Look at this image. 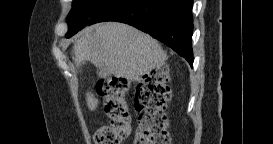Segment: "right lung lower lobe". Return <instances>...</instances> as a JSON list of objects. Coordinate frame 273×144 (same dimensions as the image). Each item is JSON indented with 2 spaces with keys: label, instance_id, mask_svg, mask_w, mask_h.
I'll return each mask as SVG.
<instances>
[{
  "label": "right lung lower lobe",
  "instance_id": "obj_1",
  "mask_svg": "<svg viewBox=\"0 0 273 144\" xmlns=\"http://www.w3.org/2000/svg\"><path fill=\"white\" fill-rule=\"evenodd\" d=\"M193 0H111L88 22L132 25L171 47L193 66Z\"/></svg>",
  "mask_w": 273,
  "mask_h": 144
}]
</instances>
